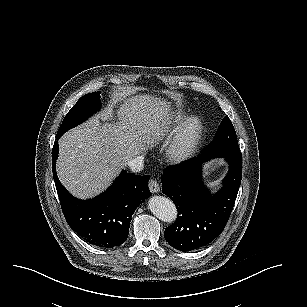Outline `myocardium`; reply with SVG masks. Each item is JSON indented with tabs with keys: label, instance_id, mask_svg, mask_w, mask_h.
<instances>
[{
	"label": "myocardium",
	"instance_id": "1",
	"mask_svg": "<svg viewBox=\"0 0 307 307\" xmlns=\"http://www.w3.org/2000/svg\"><path fill=\"white\" fill-rule=\"evenodd\" d=\"M201 122L197 116L191 115L182 121L164 146L163 152L167 158L179 162L185 158L186 153L191 152L196 145L195 139L200 136Z\"/></svg>",
	"mask_w": 307,
	"mask_h": 307
}]
</instances>
